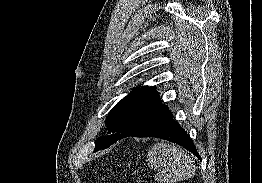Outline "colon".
Returning a JSON list of instances; mask_svg holds the SVG:
<instances>
[{
  "instance_id": "1",
  "label": "colon",
  "mask_w": 262,
  "mask_h": 183,
  "mask_svg": "<svg viewBox=\"0 0 262 183\" xmlns=\"http://www.w3.org/2000/svg\"><path fill=\"white\" fill-rule=\"evenodd\" d=\"M138 183H149L147 180H145V179H140L139 181H138Z\"/></svg>"
}]
</instances>
